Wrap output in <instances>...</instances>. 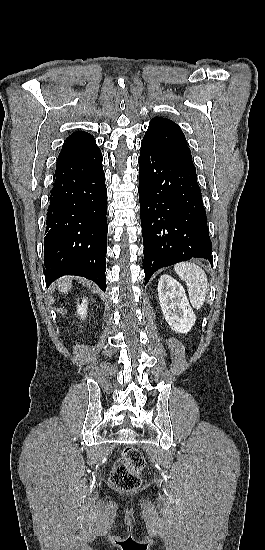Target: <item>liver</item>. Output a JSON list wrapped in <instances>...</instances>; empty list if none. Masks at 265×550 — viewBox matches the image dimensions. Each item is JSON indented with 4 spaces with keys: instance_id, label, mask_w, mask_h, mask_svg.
I'll use <instances>...</instances> for the list:
<instances>
[{
    "instance_id": "6515ba94",
    "label": "liver",
    "mask_w": 265,
    "mask_h": 550,
    "mask_svg": "<svg viewBox=\"0 0 265 550\" xmlns=\"http://www.w3.org/2000/svg\"><path fill=\"white\" fill-rule=\"evenodd\" d=\"M56 286L59 292H62L64 294L68 293V291L71 289V286H72V277L66 276L59 279L56 282Z\"/></svg>"
}]
</instances>
